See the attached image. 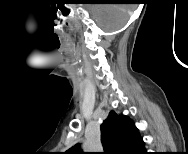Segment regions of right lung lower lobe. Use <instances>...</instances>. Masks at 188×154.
<instances>
[{"label": "right lung lower lobe", "mask_w": 188, "mask_h": 154, "mask_svg": "<svg viewBox=\"0 0 188 154\" xmlns=\"http://www.w3.org/2000/svg\"><path fill=\"white\" fill-rule=\"evenodd\" d=\"M145 153H146V151H145V150H143V151H142V154H145Z\"/></svg>", "instance_id": "obj_1"}]
</instances>
